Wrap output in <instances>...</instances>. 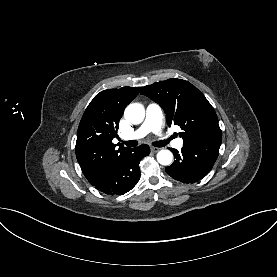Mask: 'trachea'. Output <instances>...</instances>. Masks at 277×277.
I'll use <instances>...</instances> for the list:
<instances>
[{
  "instance_id": "trachea-1",
  "label": "trachea",
  "mask_w": 277,
  "mask_h": 277,
  "mask_svg": "<svg viewBox=\"0 0 277 277\" xmlns=\"http://www.w3.org/2000/svg\"><path fill=\"white\" fill-rule=\"evenodd\" d=\"M123 144L127 145L128 147H135L138 145V142L136 140H130L123 142ZM153 146L155 147H164L167 145V141L161 140V141H155L152 143Z\"/></svg>"
}]
</instances>
